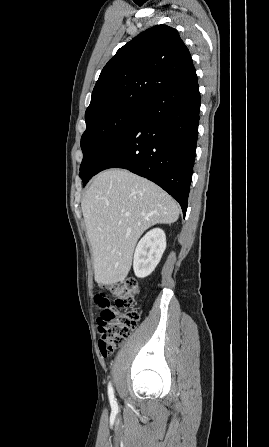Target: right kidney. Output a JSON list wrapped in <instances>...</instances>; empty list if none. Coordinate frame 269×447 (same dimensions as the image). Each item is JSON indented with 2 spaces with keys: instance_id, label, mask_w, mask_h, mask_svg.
Returning a JSON list of instances; mask_svg holds the SVG:
<instances>
[{
  "instance_id": "obj_1",
  "label": "right kidney",
  "mask_w": 269,
  "mask_h": 447,
  "mask_svg": "<svg viewBox=\"0 0 269 447\" xmlns=\"http://www.w3.org/2000/svg\"><path fill=\"white\" fill-rule=\"evenodd\" d=\"M166 249V235L160 227L147 231L138 241L134 253L133 269L137 277L152 273Z\"/></svg>"
}]
</instances>
